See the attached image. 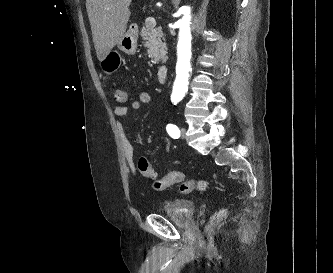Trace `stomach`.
I'll return each instance as SVG.
<instances>
[{"label":"stomach","mask_w":333,"mask_h":273,"mask_svg":"<svg viewBox=\"0 0 333 273\" xmlns=\"http://www.w3.org/2000/svg\"><path fill=\"white\" fill-rule=\"evenodd\" d=\"M137 39L136 29L134 27H130L118 42V48L128 55H133L136 52ZM118 58V53H105L104 60H102L101 63L103 70L106 72L113 71L118 65Z\"/></svg>","instance_id":"obj_1"}]
</instances>
